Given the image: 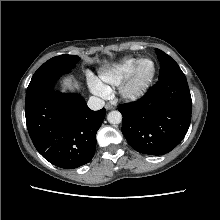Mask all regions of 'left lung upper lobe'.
Wrapping results in <instances>:
<instances>
[{
    "instance_id": "1",
    "label": "left lung upper lobe",
    "mask_w": 220,
    "mask_h": 220,
    "mask_svg": "<svg viewBox=\"0 0 220 220\" xmlns=\"http://www.w3.org/2000/svg\"><path fill=\"white\" fill-rule=\"evenodd\" d=\"M155 52L160 62L159 79L171 75L184 74L178 64L169 55L159 49H155Z\"/></svg>"
}]
</instances>
